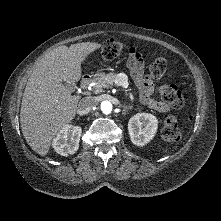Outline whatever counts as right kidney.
Instances as JSON below:
<instances>
[{
	"label": "right kidney",
	"instance_id": "1",
	"mask_svg": "<svg viewBox=\"0 0 221 221\" xmlns=\"http://www.w3.org/2000/svg\"><path fill=\"white\" fill-rule=\"evenodd\" d=\"M82 129L79 126H64L53 140L54 150L63 156L74 154L79 148Z\"/></svg>",
	"mask_w": 221,
	"mask_h": 221
}]
</instances>
